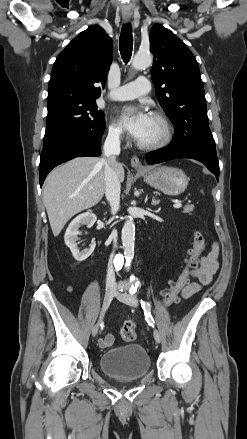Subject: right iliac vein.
Masks as SVG:
<instances>
[{
  "label": "right iliac vein",
  "mask_w": 247,
  "mask_h": 439,
  "mask_svg": "<svg viewBox=\"0 0 247 439\" xmlns=\"http://www.w3.org/2000/svg\"><path fill=\"white\" fill-rule=\"evenodd\" d=\"M114 294H115V290L113 288H111V287L106 288L104 299H103L102 313H104L107 310V308L109 307V305L114 297ZM101 320L102 319L100 317L99 321L94 325V327L92 329V336L93 337H95L98 333Z\"/></svg>",
  "instance_id": "right-iliac-vein-1"
}]
</instances>
